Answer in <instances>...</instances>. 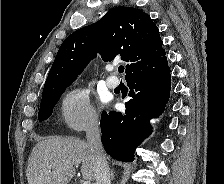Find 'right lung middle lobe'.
<instances>
[{
    "label": "right lung middle lobe",
    "instance_id": "dd1d6c3e",
    "mask_svg": "<svg viewBox=\"0 0 224 184\" xmlns=\"http://www.w3.org/2000/svg\"><path fill=\"white\" fill-rule=\"evenodd\" d=\"M66 87L48 96L42 97L40 111L38 114V118L40 122L48 119L49 116L52 114L54 106L59 100V97L61 96V94L65 91Z\"/></svg>",
    "mask_w": 224,
    "mask_h": 184
}]
</instances>
